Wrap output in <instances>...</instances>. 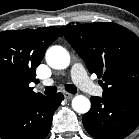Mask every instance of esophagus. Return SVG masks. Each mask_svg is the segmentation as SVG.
<instances>
[{"label":"esophagus","mask_w":139,"mask_h":139,"mask_svg":"<svg viewBox=\"0 0 139 139\" xmlns=\"http://www.w3.org/2000/svg\"><path fill=\"white\" fill-rule=\"evenodd\" d=\"M73 96H74V95L71 94V93H68V92H65V93H64V97H65L66 99H71Z\"/></svg>","instance_id":"34e87169"}]
</instances>
